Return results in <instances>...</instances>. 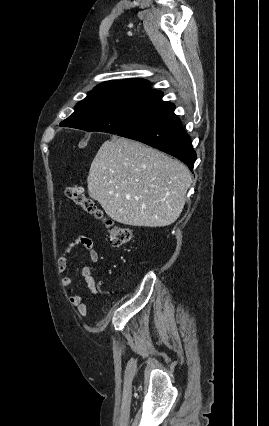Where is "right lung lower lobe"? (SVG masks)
<instances>
[{
	"instance_id": "obj_1",
	"label": "right lung lower lobe",
	"mask_w": 269,
	"mask_h": 426,
	"mask_svg": "<svg viewBox=\"0 0 269 426\" xmlns=\"http://www.w3.org/2000/svg\"><path fill=\"white\" fill-rule=\"evenodd\" d=\"M174 109V104L160 100L143 120L117 135L140 141L168 153L192 170L196 152L180 119L174 114ZM60 126L64 127L61 123Z\"/></svg>"
}]
</instances>
